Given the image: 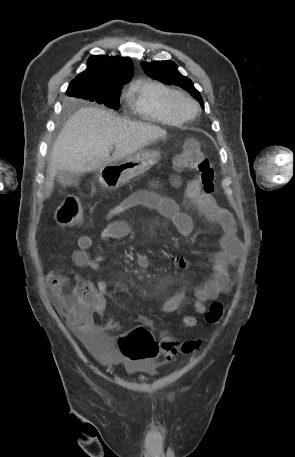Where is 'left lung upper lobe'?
Segmentation results:
<instances>
[{
  "mask_svg": "<svg viewBox=\"0 0 295 457\" xmlns=\"http://www.w3.org/2000/svg\"><path fill=\"white\" fill-rule=\"evenodd\" d=\"M141 67L144 72L151 78L166 81L175 85H178L190 92L198 100H200L201 106L204 108V103L200 93L195 89L191 80L181 75L177 70V65L172 61H153V62H142Z\"/></svg>",
  "mask_w": 295,
  "mask_h": 457,
  "instance_id": "obj_1",
  "label": "left lung upper lobe"
}]
</instances>
